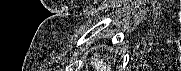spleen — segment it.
Returning a JSON list of instances; mask_svg holds the SVG:
<instances>
[{"mask_svg":"<svg viewBox=\"0 0 181 71\" xmlns=\"http://www.w3.org/2000/svg\"><path fill=\"white\" fill-rule=\"evenodd\" d=\"M94 66H95V68L97 69V71H105V69H106V66H104V65H102V62H95V63H92ZM100 64V65H99Z\"/></svg>","mask_w":181,"mask_h":71,"instance_id":"spleen-1","label":"spleen"}]
</instances>
